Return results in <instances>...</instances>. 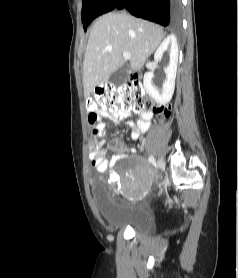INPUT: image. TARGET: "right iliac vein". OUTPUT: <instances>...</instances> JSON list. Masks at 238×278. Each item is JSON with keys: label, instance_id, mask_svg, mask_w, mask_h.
Listing matches in <instances>:
<instances>
[{"label": "right iliac vein", "instance_id": "obj_1", "mask_svg": "<svg viewBox=\"0 0 238 278\" xmlns=\"http://www.w3.org/2000/svg\"><path fill=\"white\" fill-rule=\"evenodd\" d=\"M157 165H158L159 167H162V168H160V171H164V169H166V166H164V160H163V158L158 159Z\"/></svg>", "mask_w": 238, "mask_h": 278}]
</instances>
